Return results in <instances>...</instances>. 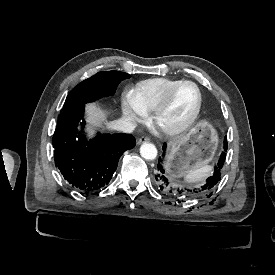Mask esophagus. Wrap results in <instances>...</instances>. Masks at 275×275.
<instances>
[{"label":"esophagus","instance_id":"34e87169","mask_svg":"<svg viewBox=\"0 0 275 275\" xmlns=\"http://www.w3.org/2000/svg\"><path fill=\"white\" fill-rule=\"evenodd\" d=\"M148 141H150L149 138H147V137H141V138L138 140V144L145 143V142H148Z\"/></svg>","mask_w":275,"mask_h":275}]
</instances>
